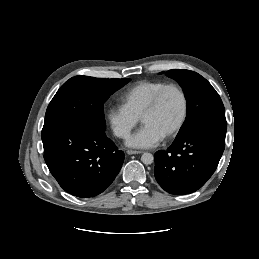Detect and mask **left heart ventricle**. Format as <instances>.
<instances>
[{"instance_id":"b2bd125f","label":"left heart ventricle","mask_w":259,"mask_h":259,"mask_svg":"<svg viewBox=\"0 0 259 259\" xmlns=\"http://www.w3.org/2000/svg\"><path fill=\"white\" fill-rule=\"evenodd\" d=\"M181 113V96L176 90L171 89L164 95L158 110L145 117L142 123L152 127L164 137L176 126Z\"/></svg>"}]
</instances>
